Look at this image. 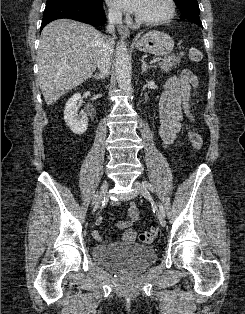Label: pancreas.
Wrapping results in <instances>:
<instances>
[{
  "label": "pancreas",
  "mask_w": 245,
  "mask_h": 314,
  "mask_svg": "<svg viewBox=\"0 0 245 314\" xmlns=\"http://www.w3.org/2000/svg\"><path fill=\"white\" fill-rule=\"evenodd\" d=\"M181 57H182V55L175 56L174 54H172L168 57H165L161 62H159V66H160L162 72L168 73L173 68H175L176 65L180 63Z\"/></svg>",
  "instance_id": "1"
}]
</instances>
